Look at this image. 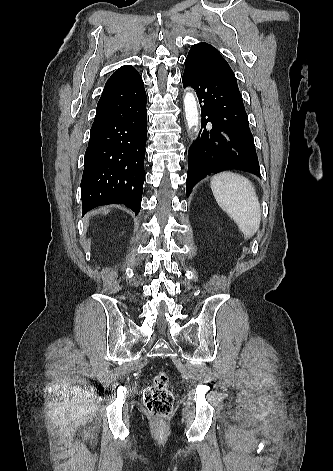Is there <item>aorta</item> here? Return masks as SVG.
Wrapping results in <instances>:
<instances>
[{
	"label": "aorta",
	"instance_id": "aorta-1",
	"mask_svg": "<svg viewBox=\"0 0 333 471\" xmlns=\"http://www.w3.org/2000/svg\"><path fill=\"white\" fill-rule=\"evenodd\" d=\"M185 118L188 129L197 127L199 124V114L193 93L187 92L184 97ZM196 129V128H195Z\"/></svg>",
	"mask_w": 333,
	"mask_h": 471
}]
</instances>
